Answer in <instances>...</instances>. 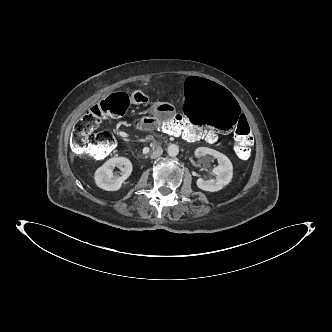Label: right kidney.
<instances>
[{
    "instance_id": "right-kidney-1",
    "label": "right kidney",
    "mask_w": 332,
    "mask_h": 332,
    "mask_svg": "<svg viewBox=\"0 0 332 332\" xmlns=\"http://www.w3.org/2000/svg\"><path fill=\"white\" fill-rule=\"evenodd\" d=\"M121 169V176H116L113 169ZM132 163L125 157H113L107 160L99 167L94 174L96 185L106 191H117L121 188L122 183L131 175Z\"/></svg>"
}]
</instances>
